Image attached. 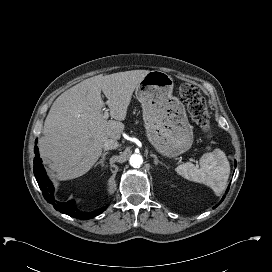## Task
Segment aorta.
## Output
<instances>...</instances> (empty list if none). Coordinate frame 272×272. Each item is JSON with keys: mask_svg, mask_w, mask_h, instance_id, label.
Here are the masks:
<instances>
[{"mask_svg": "<svg viewBox=\"0 0 272 272\" xmlns=\"http://www.w3.org/2000/svg\"><path fill=\"white\" fill-rule=\"evenodd\" d=\"M129 162L132 167L137 168L142 165L143 158L140 154H133V155H131Z\"/></svg>", "mask_w": 272, "mask_h": 272, "instance_id": "obj_1", "label": "aorta"}]
</instances>
